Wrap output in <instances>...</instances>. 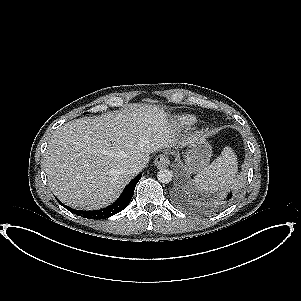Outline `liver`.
<instances>
[{"instance_id": "1", "label": "liver", "mask_w": 301, "mask_h": 301, "mask_svg": "<svg viewBox=\"0 0 301 301\" xmlns=\"http://www.w3.org/2000/svg\"><path fill=\"white\" fill-rule=\"evenodd\" d=\"M157 108L75 119L52 134L45 152L48 184L64 204L96 210L113 203L136 173L131 166L176 144ZM181 142V145H184Z\"/></svg>"}]
</instances>
